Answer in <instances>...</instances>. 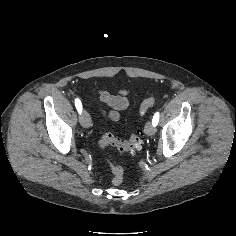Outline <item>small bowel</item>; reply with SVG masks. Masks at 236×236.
Segmentation results:
<instances>
[{"mask_svg":"<svg viewBox=\"0 0 236 236\" xmlns=\"http://www.w3.org/2000/svg\"><path fill=\"white\" fill-rule=\"evenodd\" d=\"M100 102L109 107V110H103V113L111 120H118L120 112L129 105V91L120 89L116 92L101 90L97 93Z\"/></svg>","mask_w":236,"mask_h":236,"instance_id":"1","label":"small bowel"}]
</instances>
